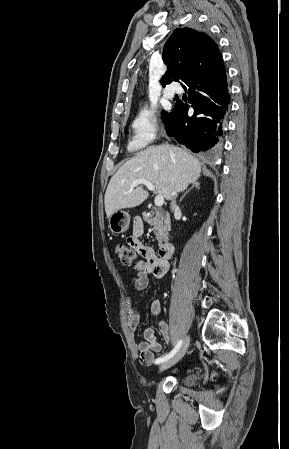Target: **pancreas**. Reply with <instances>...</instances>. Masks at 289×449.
I'll use <instances>...</instances> for the list:
<instances>
[{
    "mask_svg": "<svg viewBox=\"0 0 289 449\" xmlns=\"http://www.w3.org/2000/svg\"><path fill=\"white\" fill-rule=\"evenodd\" d=\"M143 219L149 225L153 226V230L156 235V239L158 240L159 245L162 244L163 241L168 240V233L170 231V220L169 218L163 214L162 211L156 210L151 213H144Z\"/></svg>",
    "mask_w": 289,
    "mask_h": 449,
    "instance_id": "pancreas-1",
    "label": "pancreas"
}]
</instances>
